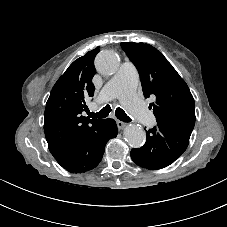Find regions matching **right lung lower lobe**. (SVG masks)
I'll return each instance as SVG.
<instances>
[{"instance_id": "1", "label": "right lung lower lobe", "mask_w": 227, "mask_h": 227, "mask_svg": "<svg viewBox=\"0 0 227 227\" xmlns=\"http://www.w3.org/2000/svg\"><path fill=\"white\" fill-rule=\"evenodd\" d=\"M117 134L115 120L104 119L79 143L63 150L54 158L71 173L89 171L100 163L107 141L115 138Z\"/></svg>"}]
</instances>
